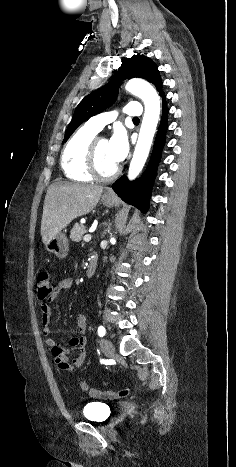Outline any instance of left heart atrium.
Segmentation results:
<instances>
[{
    "mask_svg": "<svg viewBox=\"0 0 236 467\" xmlns=\"http://www.w3.org/2000/svg\"><path fill=\"white\" fill-rule=\"evenodd\" d=\"M108 149L111 158L117 164L122 162L128 154L129 144L126 131L122 127L115 128L108 140Z\"/></svg>",
    "mask_w": 236,
    "mask_h": 467,
    "instance_id": "obj_1",
    "label": "left heart atrium"
}]
</instances>
